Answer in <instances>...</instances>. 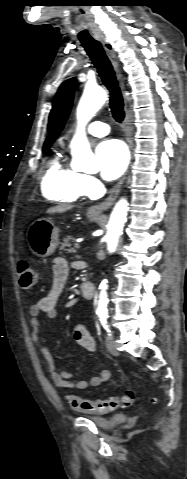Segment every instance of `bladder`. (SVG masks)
<instances>
[{"instance_id":"31cf9c89","label":"bladder","mask_w":187,"mask_h":479,"mask_svg":"<svg viewBox=\"0 0 187 479\" xmlns=\"http://www.w3.org/2000/svg\"><path fill=\"white\" fill-rule=\"evenodd\" d=\"M86 417L102 430H110L117 424L115 417L106 418L92 415H87Z\"/></svg>"}]
</instances>
